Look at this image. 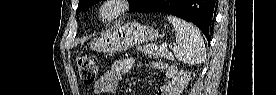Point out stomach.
I'll list each match as a JSON object with an SVG mask.
<instances>
[{"mask_svg": "<svg viewBox=\"0 0 277 95\" xmlns=\"http://www.w3.org/2000/svg\"><path fill=\"white\" fill-rule=\"evenodd\" d=\"M159 37L157 30L130 22L95 39L90 44V48L109 53L123 52L144 42H152Z\"/></svg>", "mask_w": 277, "mask_h": 95, "instance_id": "1", "label": "stomach"}]
</instances>
